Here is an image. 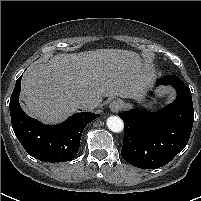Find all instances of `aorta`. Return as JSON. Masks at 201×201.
Segmentation results:
<instances>
[{"label": "aorta", "instance_id": "aorta-1", "mask_svg": "<svg viewBox=\"0 0 201 201\" xmlns=\"http://www.w3.org/2000/svg\"><path fill=\"white\" fill-rule=\"evenodd\" d=\"M107 127L112 132L119 133L124 129V123L122 119L118 116H110L106 121Z\"/></svg>", "mask_w": 201, "mask_h": 201}]
</instances>
